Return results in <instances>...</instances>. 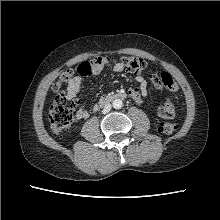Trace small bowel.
<instances>
[{
	"label": "small bowel",
	"instance_id": "small-bowel-1",
	"mask_svg": "<svg viewBox=\"0 0 220 220\" xmlns=\"http://www.w3.org/2000/svg\"><path fill=\"white\" fill-rule=\"evenodd\" d=\"M88 63L89 67L92 69V71L89 74H84L83 71V64ZM108 63L104 62L102 64H95L91 61H86L81 63L78 66V75L73 77L70 80L69 83V95L70 97L78 104V100L76 97L82 92V84H83V78L88 77L91 75H98L102 72L104 67ZM113 70L117 73H120L124 70V65L122 62H117ZM136 81L139 84V88H130L128 90L129 97L137 104L142 103V98L147 95V82L142 76H137ZM98 110V105L95 104L91 107V109H86V108H79L77 111V117L79 119H86L89 117L91 112H96Z\"/></svg>",
	"mask_w": 220,
	"mask_h": 220
}]
</instances>
